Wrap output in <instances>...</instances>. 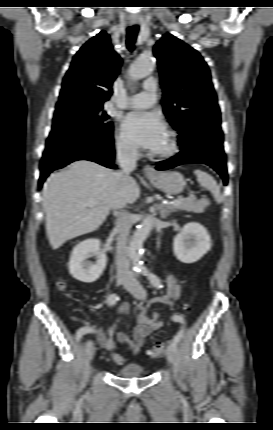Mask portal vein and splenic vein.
Here are the masks:
<instances>
[{
	"mask_svg": "<svg viewBox=\"0 0 273 430\" xmlns=\"http://www.w3.org/2000/svg\"><path fill=\"white\" fill-rule=\"evenodd\" d=\"M182 200H183V199H177V200H173V201L165 202L164 204H165V205H167V206H176V205H179V204L182 202ZM97 204H98V202H97V201H95V200H90V201L87 203V205H88V206H95V205H97Z\"/></svg>",
	"mask_w": 273,
	"mask_h": 430,
	"instance_id": "18ae733b",
	"label": "portal vein and splenic vein"
}]
</instances>
